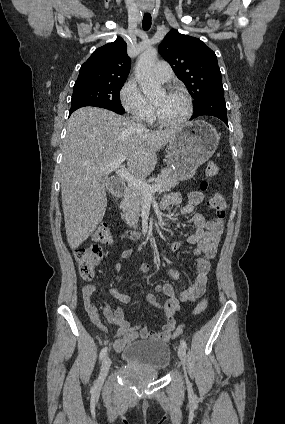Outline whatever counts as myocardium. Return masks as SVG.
<instances>
[{"mask_svg": "<svg viewBox=\"0 0 285 424\" xmlns=\"http://www.w3.org/2000/svg\"><path fill=\"white\" fill-rule=\"evenodd\" d=\"M165 92L167 94H177V95L182 96L187 103V112L182 119H180L178 121L171 122V121L165 120L161 116L157 106L155 104H153L155 119L157 120V122L159 124H161L162 126H165V127L177 128V127L183 126L184 124H186L191 119L193 112H194L193 101H192L191 96L187 92H185L184 90L176 88V87H171L168 90H166Z\"/></svg>", "mask_w": 285, "mask_h": 424, "instance_id": "obj_1", "label": "myocardium"}]
</instances>
